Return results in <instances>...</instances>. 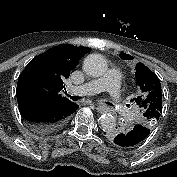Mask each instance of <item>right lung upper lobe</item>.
Instances as JSON below:
<instances>
[{
	"mask_svg": "<svg viewBox=\"0 0 177 177\" xmlns=\"http://www.w3.org/2000/svg\"><path fill=\"white\" fill-rule=\"evenodd\" d=\"M88 51L87 47L61 45L35 57L19 75L17 100L49 104L73 103L62 97L60 91L64 87L63 81Z\"/></svg>",
	"mask_w": 177,
	"mask_h": 177,
	"instance_id": "obj_1",
	"label": "right lung upper lobe"
}]
</instances>
